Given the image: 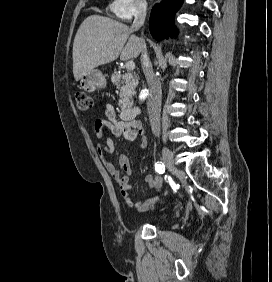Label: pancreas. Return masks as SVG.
Returning a JSON list of instances; mask_svg holds the SVG:
<instances>
[{
  "mask_svg": "<svg viewBox=\"0 0 272 282\" xmlns=\"http://www.w3.org/2000/svg\"><path fill=\"white\" fill-rule=\"evenodd\" d=\"M111 81L120 89V106H129L132 103L135 89L138 85V79L135 73L127 71L125 74H120L117 71L111 76Z\"/></svg>",
  "mask_w": 272,
  "mask_h": 282,
  "instance_id": "pancreas-1",
  "label": "pancreas"
}]
</instances>
